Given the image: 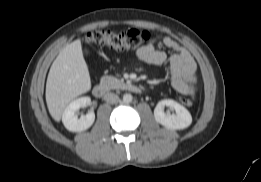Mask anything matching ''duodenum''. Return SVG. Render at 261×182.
Listing matches in <instances>:
<instances>
[{"label":"duodenum","instance_id":"1","mask_svg":"<svg viewBox=\"0 0 261 182\" xmlns=\"http://www.w3.org/2000/svg\"><path fill=\"white\" fill-rule=\"evenodd\" d=\"M124 88L135 93H140L142 91L141 88L133 82H127L124 85ZM106 92L107 88L103 84H98L93 88V95L97 98H103L106 95Z\"/></svg>","mask_w":261,"mask_h":182}]
</instances>
